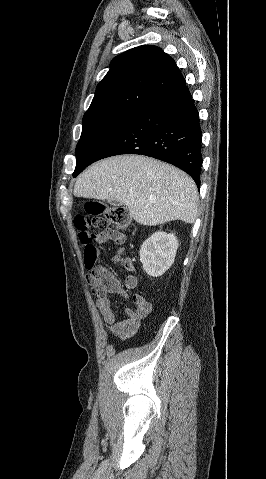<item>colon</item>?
Returning <instances> with one entry per match:
<instances>
[{
    "mask_svg": "<svg viewBox=\"0 0 266 479\" xmlns=\"http://www.w3.org/2000/svg\"><path fill=\"white\" fill-rule=\"evenodd\" d=\"M129 224V215L125 208L106 205L97 200H88L84 204V213L75 217V227L79 232V240L84 250V267L91 270L98 257L99 251L92 243L94 230H107L124 235ZM117 260L126 267H131L129 259L121 256ZM91 284L94 285L90 277ZM97 293V290H94Z\"/></svg>",
    "mask_w": 266,
    "mask_h": 479,
    "instance_id": "obj_1",
    "label": "colon"
}]
</instances>
